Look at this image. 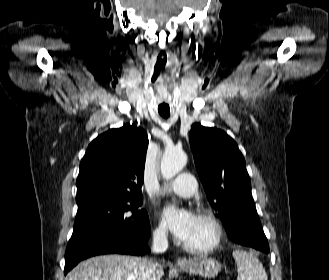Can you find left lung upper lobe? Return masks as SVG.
<instances>
[{"instance_id":"left-lung-upper-lobe-1","label":"left lung upper lobe","mask_w":329,"mask_h":280,"mask_svg":"<svg viewBox=\"0 0 329 280\" xmlns=\"http://www.w3.org/2000/svg\"><path fill=\"white\" fill-rule=\"evenodd\" d=\"M207 198L225 228L241 222L254 203L244 157L223 130L193 124L189 133Z\"/></svg>"}]
</instances>
